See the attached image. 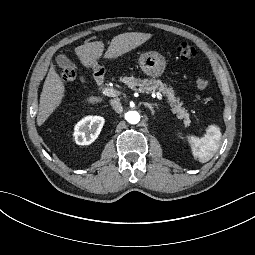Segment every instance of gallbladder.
I'll use <instances>...</instances> for the list:
<instances>
[{"instance_id":"gallbladder-1","label":"gallbladder","mask_w":255,"mask_h":255,"mask_svg":"<svg viewBox=\"0 0 255 255\" xmlns=\"http://www.w3.org/2000/svg\"><path fill=\"white\" fill-rule=\"evenodd\" d=\"M56 62L61 68H76L75 65L70 61L65 55H58L56 57Z\"/></svg>"}]
</instances>
